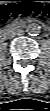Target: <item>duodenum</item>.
<instances>
[{
	"label": "duodenum",
	"mask_w": 50,
	"mask_h": 111,
	"mask_svg": "<svg viewBox=\"0 0 50 111\" xmlns=\"http://www.w3.org/2000/svg\"><path fill=\"white\" fill-rule=\"evenodd\" d=\"M11 33H12V27L4 28V29L1 31V37H2L3 39H5V38H7Z\"/></svg>",
	"instance_id": "obj_1"
}]
</instances>
